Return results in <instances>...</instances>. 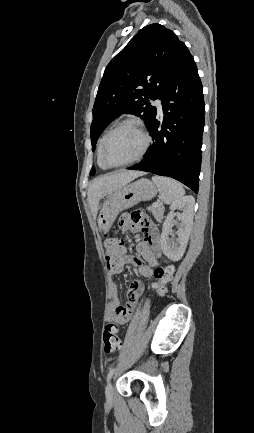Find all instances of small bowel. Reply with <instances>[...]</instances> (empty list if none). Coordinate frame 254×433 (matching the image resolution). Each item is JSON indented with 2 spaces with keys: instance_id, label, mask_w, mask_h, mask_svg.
<instances>
[{
  "instance_id": "c3829d8e",
  "label": "small bowel",
  "mask_w": 254,
  "mask_h": 433,
  "mask_svg": "<svg viewBox=\"0 0 254 433\" xmlns=\"http://www.w3.org/2000/svg\"><path fill=\"white\" fill-rule=\"evenodd\" d=\"M120 226L122 228H131L134 231H139L143 234V240L137 245L138 256L123 255L122 260L116 270H110L112 274L120 273L125 265L132 264L136 267L137 272L144 278L152 279L157 271L158 258L161 255L159 244V231L157 227L147 220L141 223L133 224L129 221V215H123L120 218ZM146 261V264L143 263ZM153 287L159 292L160 289L165 291V287L158 282ZM144 291V284L140 281H133L127 291V301L121 305L118 287L114 282L109 285L110 302L105 311L106 322H114L120 325H125L131 319L132 312Z\"/></svg>"
}]
</instances>
